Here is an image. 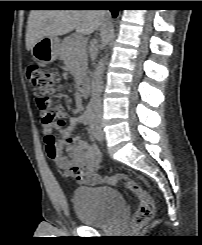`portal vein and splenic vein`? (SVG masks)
I'll return each mask as SVG.
<instances>
[{
	"mask_svg": "<svg viewBox=\"0 0 202 245\" xmlns=\"http://www.w3.org/2000/svg\"><path fill=\"white\" fill-rule=\"evenodd\" d=\"M79 42H83V43H85L82 39L81 40H79Z\"/></svg>",
	"mask_w": 202,
	"mask_h": 245,
	"instance_id": "portal-vein-and-splenic-vein-1",
	"label": "portal vein and splenic vein"
}]
</instances>
